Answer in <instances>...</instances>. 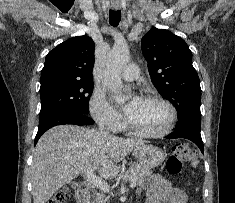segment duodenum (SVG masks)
Listing matches in <instances>:
<instances>
[{"label": "duodenum", "instance_id": "410a0bca", "mask_svg": "<svg viewBox=\"0 0 235 203\" xmlns=\"http://www.w3.org/2000/svg\"><path fill=\"white\" fill-rule=\"evenodd\" d=\"M77 203H90V191L88 188H80L76 193Z\"/></svg>", "mask_w": 235, "mask_h": 203}]
</instances>
